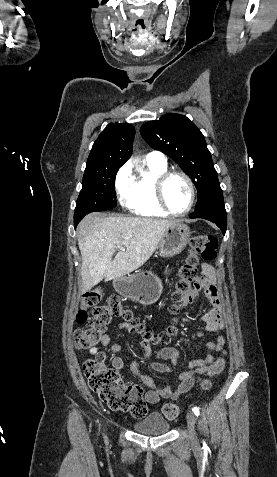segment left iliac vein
Wrapping results in <instances>:
<instances>
[{"instance_id": "obj_1", "label": "left iliac vein", "mask_w": 277, "mask_h": 477, "mask_svg": "<svg viewBox=\"0 0 277 477\" xmlns=\"http://www.w3.org/2000/svg\"><path fill=\"white\" fill-rule=\"evenodd\" d=\"M195 423H196V417L193 412H188L187 413V424H188V430H189V436L190 440L192 443H195L197 438H196V433H195Z\"/></svg>"}]
</instances>
